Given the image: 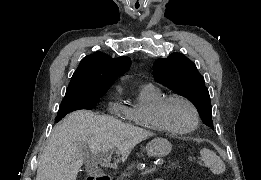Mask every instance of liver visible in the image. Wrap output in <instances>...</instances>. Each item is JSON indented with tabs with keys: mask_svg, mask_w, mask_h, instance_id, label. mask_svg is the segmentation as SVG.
I'll use <instances>...</instances> for the list:
<instances>
[{
	"mask_svg": "<svg viewBox=\"0 0 261 180\" xmlns=\"http://www.w3.org/2000/svg\"><path fill=\"white\" fill-rule=\"evenodd\" d=\"M154 136L114 116L77 110L54 126L40 156L36 180H77L80 168L95 164L98 154L116 150L126 162L133 148Z\"/></svg>",
	"mask_w": 261,
	"mask_h": 180,
	"instance_id": "liver-1",
	"label": "liver"
}]
</instances>
